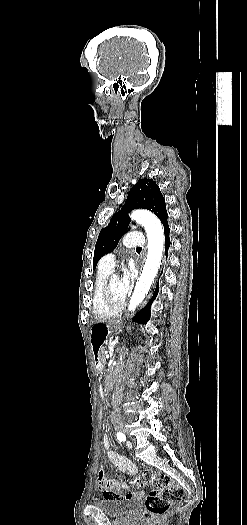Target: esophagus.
Here are the masks:
<instances>
[{"label": "esophagus", "mask_w": 247, "mask_h": 525, "mask_svg": "<svg viewBox=\"0 0 247 525\" xmlns=\"http://www.w3.org/2000/svg\"><path fill=\"white\" fill-rule=\"evenodd\" d=\"M139 273H142L145 270V267L143 265H140L138 267Z\"/></svg>", "instance_id": "1"}]
</instances>
